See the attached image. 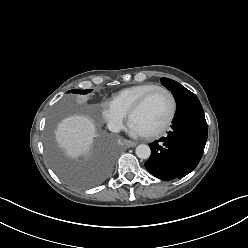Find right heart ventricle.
Instances as JSON below:
<instances>
[{"instance_id": "1", "label": "right heart ventricle", "mask_w": 248, "mask_h": 248, "mask_svg": "<svg viewBox=\"0 0 248 248\" xmlns=\"http://www.w3.org/2000/svg\"><path fill=\"white\" fill-rule=\"evenodd\" d=\"M157 87V85L152 83L137 84L133 86L126 87L119 92H117L113 97L111 102L118 107L125 114L129 112L131 107L137 102V100L144 95L146 92Z\"/></svg>"}]
</instances>
